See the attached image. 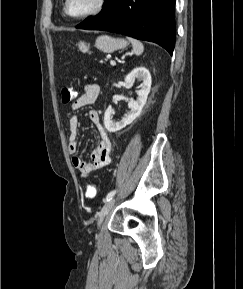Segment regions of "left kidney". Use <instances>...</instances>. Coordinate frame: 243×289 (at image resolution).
Wrapping results in <instances>:
<instances>
[{
    "label": "left kidney",
    "mask_w": 243,
    "mask_h": 289,
    "mask_svg": "<svg viewBox=\"0 0 243 289\" xmlns=\"http://www.w3.org/2000/svg\"><path fill=\"white\" fill-rule=\"evenodd\" d=\"M135 79H141L143 82L141 89L137 91V100H130L128 102V107L130 108L128 115L120 121L114 122L112 120V114L114 112L112 106L110 105L105 111L104 125L109 132H117L123 129L131 124L142 112L151 88V74L145 67H138L126 76V85L132 86Z\"/></svg>",
    "instance_id": "left-kidney-1"
}]
</instances>
